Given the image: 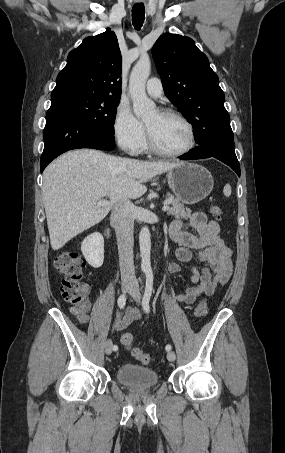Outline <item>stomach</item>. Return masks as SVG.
Returning <instances> with one entry per match:
<instances>
[{
  "label": "stomach",
  "instance_id": "1",
  "mask_svg": "<svg viewBox=\"0 0 285 453\" xmlns=\"http://www.w3.org/2000/svg\"><path fill=\"white\" fill-rule=\"evenodd\" d=\"M168 185L176 198L192 205L204 200L212 191L214 180L203 166L181 162L167 173Z\"/></svg>",
  "mask_w": 285,
  "mask_h": 453
}]
</instances>
